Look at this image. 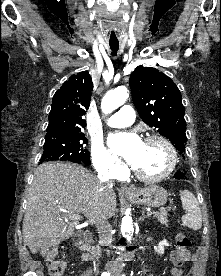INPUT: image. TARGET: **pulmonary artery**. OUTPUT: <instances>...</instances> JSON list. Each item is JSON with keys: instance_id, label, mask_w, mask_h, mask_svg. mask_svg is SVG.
<instances>
[{"instance_id": "1", "label": "pulmonary artery", "mask_w": 221, "mask_h": 276, "mask_svg": "<svg viewBox=\"0 0 221 276\" xmlns=\"http://www.w3.org/2000/svg\"><path fill=\"white\" fill-rule=\"evenodd\" d=\"M135 120L134 109L129 105H124L120 110L112 115L107 124L110 127L122 128L131 125Z\"/></svg>"}]
</instances>
